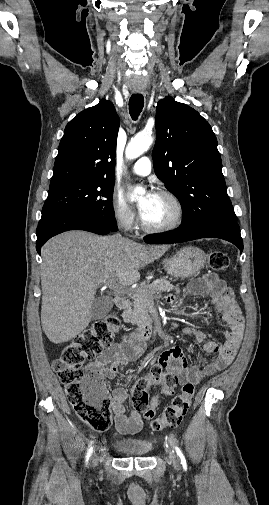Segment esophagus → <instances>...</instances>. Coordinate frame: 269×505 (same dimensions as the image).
<instances>
[{"label":"esophagus","mask_w":269,"mask_h":505,"mask_svg":"<svg viewBox=\"0 0 269 505\" xmlns=\"http://www.w3.org/2000/svg\"><path fill=\"white\" fill-rule=\"evenodd\" d=\"M135 92H142V90H135Z\"/></svg>","instance_id":"esophagus-1"}]
</instances>
